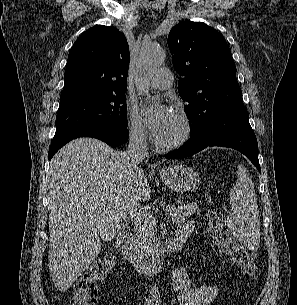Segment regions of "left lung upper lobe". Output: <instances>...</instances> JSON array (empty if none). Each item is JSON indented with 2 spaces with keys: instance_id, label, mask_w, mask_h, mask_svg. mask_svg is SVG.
<instances>
[{
  "instance_id": "1",
  "label": "left lung upper lobe",
  "mask_w": 297,
  "mask_h": 305,
  "mask_svg": "<svg viewBox=\"0 0 297 305\" xmlns=\"http://www.w3.org/2000/svg\"><path fill=\"white\" fill-rule=\"evenodd\" d=\"M168 47L179 79L178 92L191 133L226 108L242 104L236 67L225 38L202 22L186 21L172 28Z\"/></svg>"
}]
</instances>
